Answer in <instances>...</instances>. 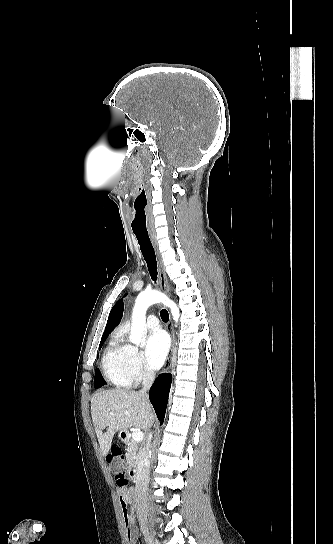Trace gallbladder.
Listing matches in <instances>:
<instances>
[{
  "label": "gallbladder",
  "instance_id": "obj_1",
  "mask_svg": "<svg viewBox=\"0 0 333 544\" xmlns=\"http://www.w3.org/2000/svg\"><path fill=\"white\" fill-rule=\"evenodd\" d=\"M121 469L116 465V464H112L111 465V471L113 473H118Z\"/></svg>",
  "mask_w": 333,
  "mask_h": 544
}]
</instances>
